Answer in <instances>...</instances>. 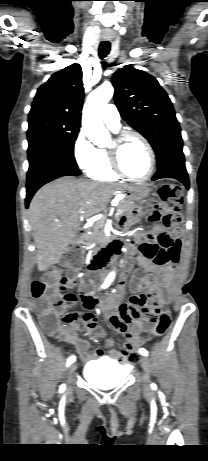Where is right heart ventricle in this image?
I'll list each match as a JSON object with an SVG mask.
<instances>
[{"label":"right heart ventricle","mask_w":208,"mask_h":461,"mask_svg":"<svg viewBox=\"0 0 208 461\" xmlns=\"http://www.w3.org/2000/svg\"><path fill=\"white\" fill-rule=\"evenodd\" d=\"M91 179L100 181H116L119 176L112 170L108 153L105 149H96L95 158L86 170Z\"/></svg>","instance_id":"right-heart-ventricle-1"}]
</instances>
